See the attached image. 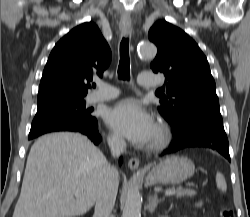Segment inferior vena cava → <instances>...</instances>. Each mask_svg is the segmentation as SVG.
I'll use <instances>...</instances> for the list:
<instances>
[{
  "instance_id": "1",
  "label": "inferior vena cava",
  "mask_w": 250,
  "mask_h": 217,
  "mask_svg": "<svg viewBox=\"0 0 250 217\" xmlns=\"http://www.w3.org/2000/svg\"><path fill=\"white\" fill-rule=\"evenodd\" d=\"M113 157H119L125 150L126 142L119 135L108 138ZM119 184V174L114 166H106L103 169L101 182L96 197L94 217H112Z\"/></svg>"
}]
</instances>
